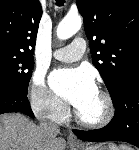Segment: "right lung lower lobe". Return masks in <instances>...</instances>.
I'll list each match as a JSON object with an SVG mask.
<instances>
[{
	"label": "right lung lower lobe",
	"mask_w": 139,
	"mask_h": 150,
	"mask_svg": "<svg viewBox=\"0 0 139 150\" xmlns=\"http://www.w3.org/2000/svg\"><path fill=\"white\" fill-rule=\"evenodd\" d=\"M9 112H20L34 117L27 98V92L0 86V114Z\"/></svg>",
	"instance_id": "1"
}]
</instances>
